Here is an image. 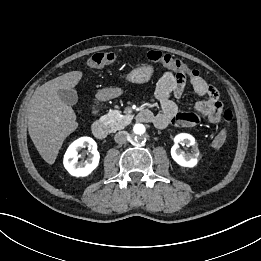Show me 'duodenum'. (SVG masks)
<instances>
[{
  "mask_svg": "<svg viewBox=\"0 0 261 261\" xmlns=\"http://www.w3.org/2000/svg\"><path fill=\"white\" fill-rule=\"evenodd\" d=\"M137 120L140 122H151L153 114L149 110H141L137 114ZM92 133L97 139L102 140L108 136L109 129L104 122L96 120L92 125Z\"/></svg>",
  "mask_w": 261,
  "mask_h": 261,
  "instance_id": "duodenum-1",
  "label": "duodenum"
}]
</instances>
